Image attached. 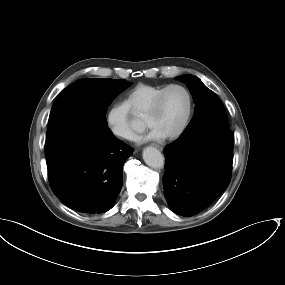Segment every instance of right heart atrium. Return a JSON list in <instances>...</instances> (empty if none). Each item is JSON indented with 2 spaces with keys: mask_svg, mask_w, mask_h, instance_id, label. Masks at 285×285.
<instances>
[{
  "mask_svg": "<svg viewBox=\"0 0 285 285\" xmlns=\"http://www.w3.org/2000/svg\"><path fill=\"white\" fill-rule=\"evenodd\" d=\"M105 123L109 131L121 140H132L135 132L128 109L120 103H113L106 108Z\"/></svg>",
  "mask_w": 285,
  "mask_h": 285,
  "instance_id": "obj_1",
  "label": "right heart atrium"
}]
</instances>
